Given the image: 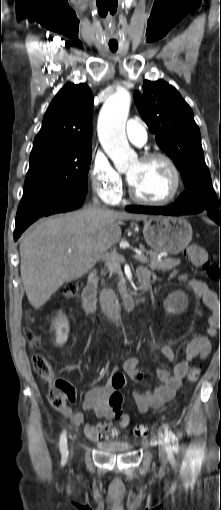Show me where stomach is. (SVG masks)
<instances>
[{
    "label": "stomach",
    "instance_id": "stomach-1",
    "mask_svg": "<svg viewBox=\"0 0 221 510\" xmlns=\"http://www.w3.org/2000/svg\"><path fill=\"white\" fill-rule=\"evenodd\" d=\"M192 227L181 217L154 216L144 222L146 243L156 252L177 255L192 239Z\"/></svg>",
    "mask_w": 221,
    "mask_h": 510
}]
</instances>
